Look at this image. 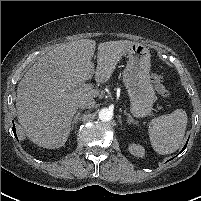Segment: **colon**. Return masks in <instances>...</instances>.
I'll use <instances>...</instances> for the list:
<instances>
[{
	"mask_svg": "<svg viewBox=\"0 0 201 201\" xmlns=\"http://www.w3.org/2000/svg\"><path fill=\"white\" fill-rule=\"evenodd\" d=\"M151 80H152V82L157 90V93L159 94L160 97L168 98L170 96V92L165 87V85L163 83V78L160 74L152 73Z\"/></svg>",
	"mask_w": 201,
	"mask_h": 201,
	"instance_id": "1",
	"label": "colon"
}]
</instances>
